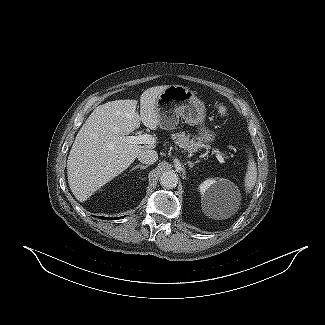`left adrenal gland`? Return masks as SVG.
Segmentation results:
<instances>
[{
    "mask_svg": "<svg viewBox=\"0 0 325 325\" xmlns=\"http://www.w3.org/2000/svg\"><path fill=\"white\" fill-rule=\"evenodd\" d=\"M198 162H199V160H197V161H195V162L188 161L187 164H188V166H189L190 168H193V166H194L196 163H198Z\"/></svg>",
    "mask_w": 325,
    "mask_h": 325,
    "instance_id": "a2214340",
    "label": "left adrenal gland"
}]
</instances>
